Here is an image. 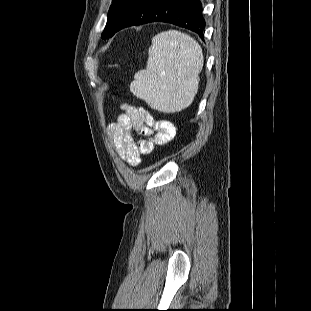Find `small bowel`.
I'll use <instances>...</instances> for the list:
<instances>
[{"instance_id":"small-bowel-1","label":"small bowel","mask_w":311,"mask_h":311,"mask_svg":"<svg viewBox=\"0 0 311 311\" xmlns=\"http://www.w3.org/2000/svg\"><path fill=\"white\" fill-rule=\"evenodd\" d=\"M124 113L108 128L120 158L131 166L140 164L141 156L152 152L155 146L170 141L174 127L168 121L156 120L142 107L122 104ZM144 136L135 140L134 135Z\"/></svg>"}]
</instances>
